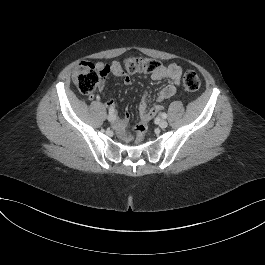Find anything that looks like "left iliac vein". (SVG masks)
I'll return each mask as SVG.
<instances>
[{
  "instance_id": "4c4485c4",
  "label": "left iliac vein",
  "mask_w": 265,
  "mask_h": 265,
  "mask_svg": "<svg viewBox=\"0 0 265 265\" xmlns=\"http://www.w3.org/2000/svg\"><path fill=\"white\" fill-rule=\"evenodd\" d=\"M159 126L161 127V128H166L167 126H168V123H167V121L166 120H164V119H161L160 121H159Z\"/></svg>"
}]
</instances>
